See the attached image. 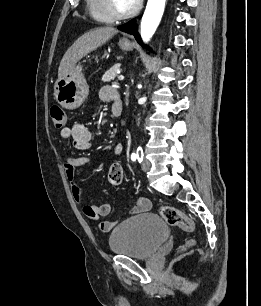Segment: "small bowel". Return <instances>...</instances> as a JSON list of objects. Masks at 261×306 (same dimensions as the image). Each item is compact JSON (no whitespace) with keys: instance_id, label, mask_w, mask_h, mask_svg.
I'll return each instance as SVG.
<instances>
[{"instance_id":"1","label":"small bowel","mask_w":261,"mask_h":306,"mask_svg":"<svg viewBox=\"0 0 261 306\" xmlns=\"http://www.w3.org/2000/svg\"><path fill=\"white\" fill-rule=\"evenodd\" d=\"M100 98L105 101L121 107V101L118 92L111 87H103L100 91ZM61 138L71 139L73 146L78 150H86L91 146L92 133L83 124L76 123L72 127L62 129ZM115 154L119 155L122 152V145L118 144L114 150ZM90 159L86 156H68L64 162V170L66 177L72 182V194L77 201H81L82 187L73 182L76 169L89 164ZM150 201L146 198L137 199L135 205L130 209V214H136L147 211L150 208ZM83 213L92 221L99 222V228L108 232L116 225V221H100V218L106 217L111 213V205L106 203L102 205H85Z\"/></svg>"}]
</instances>
